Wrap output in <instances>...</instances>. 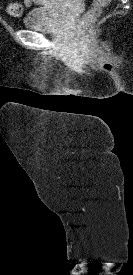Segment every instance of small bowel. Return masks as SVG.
Segmentation results:
<instances>
[{
	"label": "small bowel",
	"instance_id": "1",
	"mask_svg": "<svg viewBox=\"0 0 133 275\" xmlns=\"http://www.w3.org/2000/svg\"><path fill=\"white\" fill-rule=\"evenodd\" d=\"M32 0H24L25 5H30Z\"/></svg>",
	"mask_w": 133,
	"mask_h": 275
}]
</instances>
